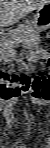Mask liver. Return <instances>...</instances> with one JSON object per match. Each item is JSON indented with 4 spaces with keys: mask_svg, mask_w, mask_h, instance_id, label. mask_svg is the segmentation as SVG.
I'll return each instance as SVG.
<instances>
[{
    "mask_svg": "<svg viewBox=\"0 0 50 148\" xmlns=\"http://www.w3.org/2000/svg\"><path fill=\"white\" fill-rule=\"evenodd\" d=\"M49 0H1V26L13 25L26 14L48 4Z\"/></svg>",
    "mask_w": 50,
    "mask_h": 148,
    "instance_id": "6515ba94",
    "label": "liver"
}]
</instances>
